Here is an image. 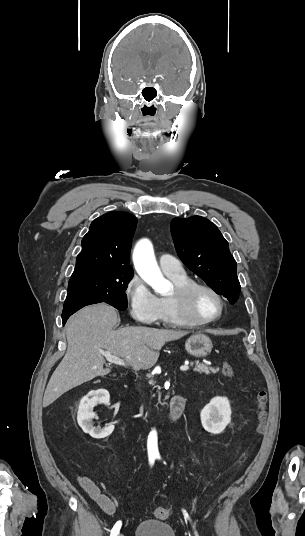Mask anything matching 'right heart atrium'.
<instances>
[{"label":"right heart atrium","mask_w":305,"mask_h":536,"mask_svg":"<svg viewBox=\"0 0 305 536\" xmlns=\"http://www.w3.org/2000/svg\"><path fill=\"white\" fill-rule=\"evenodd\" d=\"M126 302L131 316L138 322L154 324L159 320L161 304L142 279L134 275L125 290Z\"/></svg>","instance_id":"1"}]
</instances>
